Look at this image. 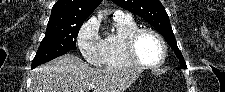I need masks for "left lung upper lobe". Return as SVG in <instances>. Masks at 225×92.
Returning <instances> with one entry per match:
<instances>
[{
	"mask_svg": "<svg viewBox=\"0 0 225 92\" xmlns=\"http://www.w3.org/2000/svg\"><path fill=\"white\" fill-rule=\"evenodd\" d=\"M118 6L137 14L148 23H150L157 31L165 37V40L174 50L175 55L179 59L180 68L186 69V63L182 53L177 47L176 39L173 34L169 17L164 6L159 0H112Z\"/></svg>",
	"mask_w": 225,
	"mask_h": 92,
	"instance_id": "obj_1",
	"label": "left lung upper lobe"
}]
</instances>
